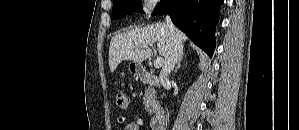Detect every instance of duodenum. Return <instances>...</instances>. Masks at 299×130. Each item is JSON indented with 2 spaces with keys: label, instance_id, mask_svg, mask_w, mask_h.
Returning <instances> with one entry per match:
<instances>
[{
  "label": "duodenum",
  "instance_id": "obj_1",
  "mask_svg": "<svg viewBox=\"0 0 299 130\" xmlns=\"http://www.w3.org/2000/svg\"><path fill=\"white\" fill-rule=\"evenodd\" d=\"M138 76L145 82L151 83L153 85L159 84V78L154 73L146 70L145 68L137 69ZM151 126L153 130H164L166 126L165 111L162 107H158L154 116L151 119Z\"/></svg>",
  "mask_w": 299,
  "mask_h": 130
}]
</instances>
